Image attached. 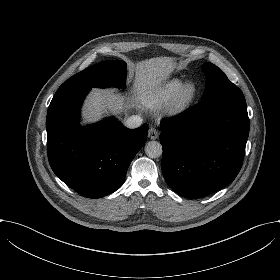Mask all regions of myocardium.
Returning <instances> with one entry per match:
<instances>
[{"label": "myocardium", "instance_id": "f54148a6", "mask_svg": "<svg viewBox=\"0 0 280 280\" xmlns=\"http://www.w3.org/2000/svg\"><path fill=\"white\" fill-rule=\"evenodd\" d=\"M190 83L195 84V93L192 96L187 97L186 89ZM200 93L201 88L196 80L188 79L185 82H183L178 93L176 94L175 98L172 100L168 107L169 114L176 115L190 108L198 100Z\"/></svg>", "mask_w": 280, "mask_h": 280}]
</instances>
